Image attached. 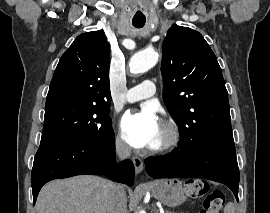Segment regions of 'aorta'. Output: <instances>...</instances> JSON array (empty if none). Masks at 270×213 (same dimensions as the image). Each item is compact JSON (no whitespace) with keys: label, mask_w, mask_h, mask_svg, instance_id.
Listing matches in <instances>:
<instances>
[{"label":"aorta","mask_w":270,"mask_h":213,"mask_svg":"<svg viewBox=\"0 0 270 213\" xmlns=\"http://www.w3.org/2000/svg\"><path fill=\"white\" fill-rule=\"evenodd\" d=\"M159 55L153 49L139 51L132 56L129 62L130 72L133 74L144 73L156 65ZM139 213H145L140 211Z\"/></svg>","instance_id":"1"}]
</instances>
